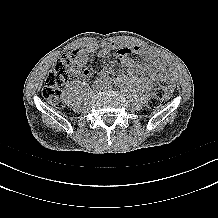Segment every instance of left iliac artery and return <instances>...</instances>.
<instances>
[{"mask_svg":"<svg viewBox=\"0 0 218 218\" xmlns=\"http://www.w3.org/2000/svg\"><path fill=\"white\" fill-rule=\"evenodd\" d=\"M105 81H106L107 84H111L112 83L109 78H107Z\"/></svg>","mask_w":218,"mask_h":218,"instance_id":"44dca946","label":"left iliac artery"}]
</instances>
